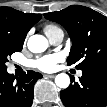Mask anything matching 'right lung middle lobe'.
Wrapping results in <instances>:
<instances>
[{"mask_svg":"<svg viewBox=\"0 0 107 107\" xmlns=\"http://www.w3.org/2000/svg\"><path fill=\"white\" fill-rule=\"evenodd\" d=\"M23 44H14L7 34L0 31V70L7 69L5 63L8 61L7 57L14 52L21 51Z\"/></svg>","mask_w":107,"mask_h":107,"instance_id":"dd1d6c3e","label":"right lung middle lobe"}]
</instances>
